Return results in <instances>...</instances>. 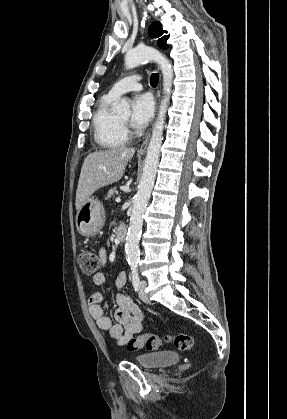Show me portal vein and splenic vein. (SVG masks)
<instances>
[{
  "label": "portal vein and splenic vein",
  "instance_id": "obj_1",
  "mask_svg": "<svg viewBox=\"0 0 287 419\" xmlns=\"http://www.w3.org/2000/svg\"><path fill=\"white\" fill-rule=\"evenodd\" d=\"M115 201H116L117 203L121 202L120 197H117Z\"/></svg>",
  "mask_w": 287,
  "mask_h": 419
}]
</instances>
